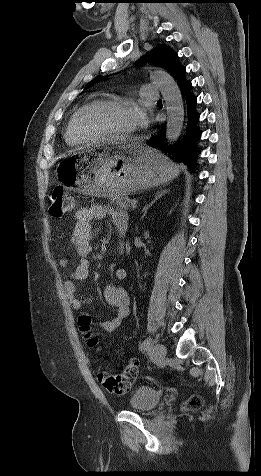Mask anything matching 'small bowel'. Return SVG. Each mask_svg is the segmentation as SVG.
Returning a JSON list of instances; mask_svg holds the SVG:
<instances>
[{
    "mask_svg": "<svg viewBox=\"0 0 261 476\" xmlns=\"http://www.w3.org/2000/svg\"><path fill=\"white\" fill-rule=\"evenodd\" d=\"M104 217H110L119 234L125 235L128 229V216L122 211L103 205H94L78 210L75 216L76 222L72 228L67 252L76 253L80 257V261L77 267L69 272L68 278L64 282V290L70 305L77 311L82 310L84 305L90 303V299L77 295L76 282L86 279L89 275L90 263L88 256L92 251L93 221ZM59 265L63 270H67L69 258H61ZM115 276L119 281L126 280V269H117ZM103 294L106 302L115 308L116 315L108 321L97 322V324L105 331L113 332L120 327L122 321L129 315L130 297L124 288L114 284L106 285Z\"/></svg>",
    "mask_w": 261,
    "mask_h": 476,
    "instance_id": "small-bowel-1",
    "label": "small bowel"
}]
</instances>
